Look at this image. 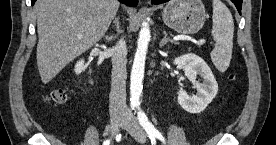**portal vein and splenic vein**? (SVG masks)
Segmentation results:
<instances>
[{"label":"portal vein and splenic vein","mask_w":276,"mask_h":145,"mask_svg":"<svg viewBox=\"0 0 276 145\" xmlns=\"http://www.w3.org/2000/svg\"><path fill=\"white\" fill-rule=\"evenodd\" d=\"M206 43V40L205 39H200L198 42H197V45H204Z\"/></svg>","instance_id":"1"}]
</instances>
